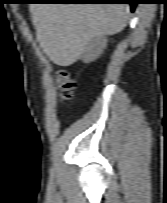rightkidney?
I'll use <instances>...</instances> for the list:
<instances>
[{
    "label": "right kidney",
    "mask_w": 167,
    "mask_h": 203,
    "mask_svg": "<svg viewBox=\"0 0 167 203\" xmlns=\"http://www.w3.org/2000/svg\"><path fill=\"white\" fill-rule=\"evenodd\" d=\"M107 46L105 37H97L90 45H88L82 54V59L85 63H89L97 59Z\"/></svg>",
    "instance_id": "obj_1"
}]
</instances>
